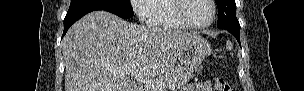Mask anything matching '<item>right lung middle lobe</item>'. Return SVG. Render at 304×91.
I'll return each mask as SVG.
<instances>
[{
    "mask_svg": "<svg viewBox=\"0 0 304 91\" xmlns=\"http://www.w3.org/2000/svg\"><path fill=\"white\" fill-rule=\"evenodd\" d=\"M84 1L108 6L113 11V14H116L121 18H130L134 14L130 0H71V4H73V2Z\"/></svg>",
    "mask_w": 304,
    "mask_h": 91,
    "instance_id": "dd1d6c3e",
    "label": "right lung middle lobe"
}]
</instances>
